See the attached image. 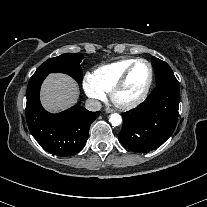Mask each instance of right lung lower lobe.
Returning a JSON list of instances; mask_svg holds the SVG:
<instances>
[{
	"label": "right lung lower lobe",
	"mask_w": 207,
	"mask_h": 207,
	"mask_svg": "<svg viewBox=\"0 0 207 207\" xmlns=\"http://www.w3.org/2000/svg\"><path fill=\"white\" fill-rule=\"evenodd\" d=\"M47 75L32 76L29 80L26 93L28 128L46 151L58 156H71L84 148L90 125L100 111L90 112L79 105L57 114L44 110L40 103L39 92Z\"/></svg>",
	"instance_id": "right-lung-lower-lobe-1"
}]
</instances>
